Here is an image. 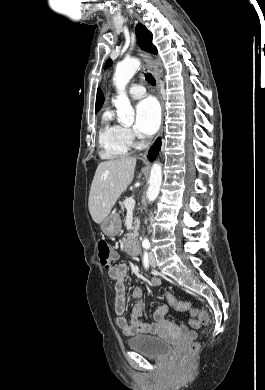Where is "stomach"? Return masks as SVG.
Listing matches in <instances>:
<instances>
[{
	"label": "stomach",
	"mask_w": 265,
	"mask_h": 390,
	"mask_svg": "<svg viewBox=\"0 0 265 390\" xmlns=\"http://www.w3.org/2000/svg\"><path fill=\"white\" fill-rule=\"evenodd\" d=\"M101 230L106 236H116L121 230V220L117 213L112 212L101 222Z\"/></svg>",
	"instance_id": "1"
}]
</instances>
